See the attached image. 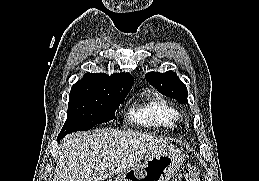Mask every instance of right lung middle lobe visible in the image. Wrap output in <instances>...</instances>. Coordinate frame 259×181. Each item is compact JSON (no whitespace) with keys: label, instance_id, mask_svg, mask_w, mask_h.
Here are the masks:
<instances>
[{"label":"right lung middle lobe","instance_id":"obj_1","mask_svg":"<svg viewBox=\"0 0 259 181\" xmlns=\"http://www.w3.org/2000/svg\"><path fill=\"white\" fill-rule=\"evenodd\" d=\"M124 99L125 96L70 93L67 120L58 137L75 131H86L97 124L112 120Z\"/></svg>","mask_w":259,"mask_h":181}]
</instances>
